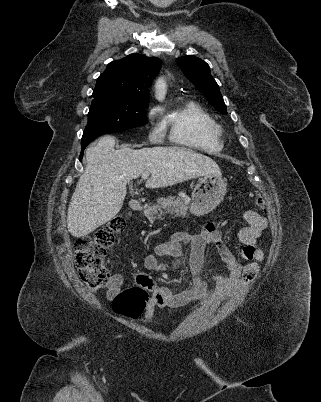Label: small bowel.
Masks as SVG:
<instances>
[{"label": "small bowel", "mask_w": 321, "mask_h": 402, "mask_svg": "<svg viewBox=\"0 0 321 402\" xmlns=\"http://www.w3.org/2000/svg\"><path fill=\"white\" fill-rule=\"evenodd\" d=\"M246 225L238 233V238L243 244L240 252L241 259L247 261L241 263L225 243L222 233L214 224H207L199 232L179 231L172 234L167 241L158 242L153 251L144 258V266L147 270L163 271L167 265L159 261L162 256H174L176 261L174 268L180 270L187 265L192 276V286L186 290L175 293L169 287L156 284L146 273L136 274L137 282L147 291L151 297L147 303L144 319L151 321L157 308L178 309L180 307L203 302L209 293L208 283L202 277V269L208 260L207 247L215 248L218 256L226 265L225 274H217L213 277L215 294L220 301L236 296L259 274L260 264L264 260V253L259 247V238L267 228V220L256 211H247L244 214ZM189 245L187 255L183 253L182 246ZM123 276L114 273L109 280L107 297H116L123 285Z\"/></svg>", "instance_id": "1"}]
</instances>
